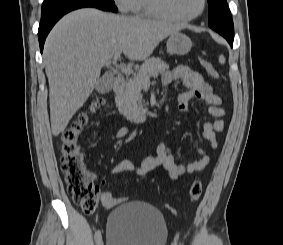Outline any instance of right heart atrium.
I'll return each instance as SVG.
<instances>
[{
  "label": "right heart atrium",
  "instance_id": "obj_1",
  "mask_svg": "<svg viewBox=\"0 0 283 245\" xmlns=\"http://www.w3.org/2000/svg\"><path fill=\"white\" fill-rule=\"evenodd\" d=\"M121 12H128L132 8L133 0H113Z\"/></svg>",
  "mask_w": 283,
  "mask_h": 245
}]
</instances>
